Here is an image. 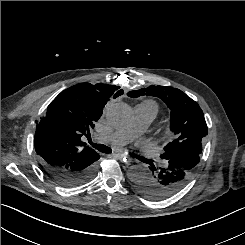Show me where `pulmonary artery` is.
I'll list each match as a JSON object with an SVG mask.
<instances>
[{"instance_id": "1", "label": "pulmonary artery", "mask_w": 245, "mask_h": 245, "mask_svg": "<svg viewBox=\"0 0 245 245\" xmlns=\"http://www.w3.org/2000/svg\"><path fill=\"white\" fill-rule=\"evenodd\" d=\"M134 121L128 128L110 134L106 140L114 146H121L133 140L141 131L147 128L157 115L153 107L137 104L134 108Z\"/></svg>"}]
</instances>
